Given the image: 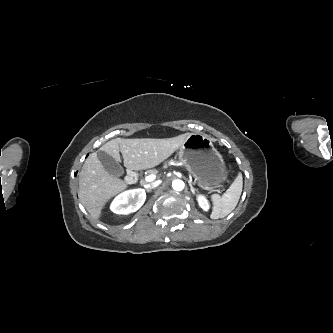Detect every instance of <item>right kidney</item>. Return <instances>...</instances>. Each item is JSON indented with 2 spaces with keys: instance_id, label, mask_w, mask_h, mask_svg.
Returning <instances> with one entry per match:
<instances>
[{
  "instance_id": "right-kidney-1",
  "label": "right kidney",
  "mask_w": 333,
  "mask_h": 333,
  "mask_svg": "<svg viewBox=\"0 0 333 333\" xmlns=\"http://www.w3.org/2000/svg\"><path fill=\"white\" fill-rule=\"evenodd\" d=\"M144 189L127 190L119 194L111 204V210L116 214L127 215L137 211L145 202Z\"/></svg>"
}]
</instances>
